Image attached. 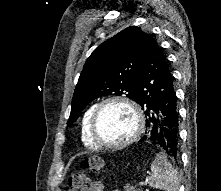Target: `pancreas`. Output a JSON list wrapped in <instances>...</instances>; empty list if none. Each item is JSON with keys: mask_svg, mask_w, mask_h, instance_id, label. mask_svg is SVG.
<instances>
[{"mask_svg": "<svg viewBox=\"0 0 221 191\" xmlns=\"http://www.w3.org/2000/svg\"><path fill=\"white\" fill-rule=\"evenodd\" d=\"M124 189H125V191H142V190L136 189L135 187L130 186L128 184L124 186Z\"/></svg>", "mask_w": 221, "mask_h": 191, "instance_id": "obj_1", "label": "pancreas"}]
</instances>
